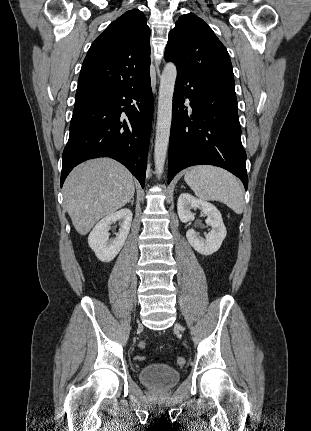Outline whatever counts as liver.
<instances>
[{"label":"liver","mask_w":311,"mask_h":431,"mask_svg":"<svg viewBox=\"0 0 311 431\" xmlns=\"http://www.w3.org/2000/svg\"><path fill=\"white\" fill-rule=\"evenodd\" d=\"M134 194L132 174L111 158L76 166L64 184L66 210L81 235H86L100 217L123 208Z\"/></svg>","instance_id":"obj_1"}]
</instances>
